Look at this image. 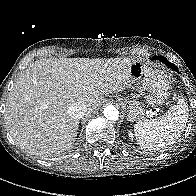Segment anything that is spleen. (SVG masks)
Returning <instances> with one entry per match:
<instances>
[{
	"mask_svg": "<svg viewBox=\"0 0 196 196\" xmlns=\"http://www.w3.org/2000/svg\"><path fill=\"white\" fill-rule=\"evenodd\" d=\"M188 111V105L181 97L164 115L152 120L138 121L134 125L137 142L149 150L167 147L184 131Z\"/></svg>",
	"mask_w": 196,
	"mask_h": 196,
	"instance_id": "1",
	"label": "spleen"
}]
</instances>
